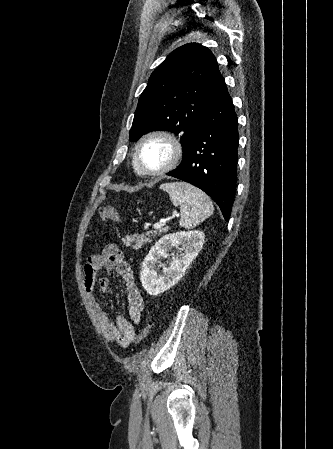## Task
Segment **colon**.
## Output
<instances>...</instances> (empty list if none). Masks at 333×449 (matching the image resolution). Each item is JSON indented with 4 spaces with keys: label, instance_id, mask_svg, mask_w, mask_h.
Masks as SVG:
<instances>
[{
    "label": "colon",
    "instance_id": "obj_1",
    "mask_svg": "<svg viewBox=\"0 0 333 449\" xmlns=\"http://www.w3.org/2000/svg\"><path fill=\"white\" fill-rule=\"evenodd\" d=\"M99 215H100L101 219H103V220H109L112 222L120 221V216H119L118 212L111 206L102 207L99 210ZM154 325H155V319L153 317L148 318L145 326L143 327V329L137 336V342L140 343V342L144 341L146 339V337L148 336L149 332L151 331V329L154 327Z\"/></svg>",
    "mask_w": 333,
    "mask_h": 449
}]
</instances>
